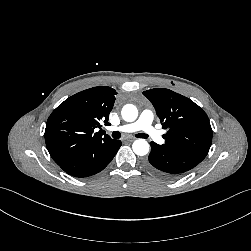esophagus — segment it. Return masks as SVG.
Instances as JSON below:
<instances>
[{
  "instance_id": "esophagus-1",
  "label": "esophagus",
  "mask_w": 251,
  "mask_h": 251,
  "mask_svg": "<svg viewBox=\"0 0 251 251\" xmlns=\"http://www.w3.org/2000/svg\"><path fill=\"white\" fill-rule=\"evenodd\" d=\"M127 140H128V141H130V142H132V141H134V140H135V138H133V137H129V138H127Z\"/></svg>"
}]
</instances>
